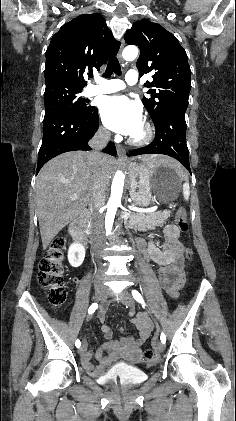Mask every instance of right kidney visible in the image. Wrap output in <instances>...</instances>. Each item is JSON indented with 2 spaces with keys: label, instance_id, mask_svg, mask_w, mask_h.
I'll list each match as a JSON object with an SVG mask.
<instances>
[{
  "label": "right kidney",
  "instance_id": "1",
  "mask_svg": "<svg viewBox=\"0 0 236 421\" xmlns=\"http://www.w3.org/2000/svg\"><path fill=\"white\" fill-rule=\"evenodd\" d=\"M85 259V249L83 245H77V243H73L71 247H69L68 251V261L72 267H80Z\"/></svg>",
  "mask_w": 236,
  "mask_h": 421
}]
</instances>
